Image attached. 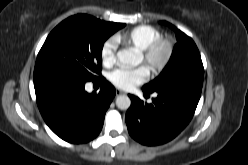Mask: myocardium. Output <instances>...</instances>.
<instances>
[{
  "label": "myocardium",
  "instance_id": "1",
  "mask_svg": "<svg viewBox=\"0 0 248 165\" xmlns=\"http://www.w3.org/2000/svg\"><path fill=\"white\" fill-rule=\"evenodd\" d=\"M175 45L169 38L159 37L141 51L144 63L153 73L162 71L174 54Z\"/></svg>",
  "mask_w": 248,
  "mask_h": 165
}]
</instances>
